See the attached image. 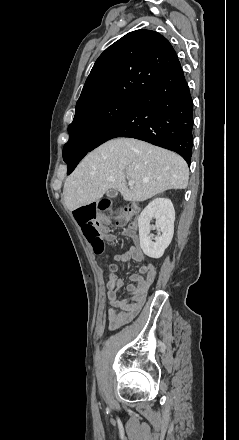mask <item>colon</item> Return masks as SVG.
Returning a JSON list of instances; mask_svg holds the SVG:
<instances>
[{
    "label": "colon",
    "mask_w": 239,
    "mask_h": 440,
    "mask_svg": "<svg viewBox=\"0 0 239 440\" xmlns=\"http://www.w3.org/2000/svg\"><path fill=\"white\" fill-rule=\"evenodd\" d=\"M140 209L139 204L113 206L109 201L104 200L99 204L78 208L74 212V216L94 251L101 254L105 249L106 241L110 239V236L104 233L103 219L112 220L117 224H125ZM109 269L113 274L115 266L110 265Z\"/></svg>",
    "instance_id": "colon-1"
}]
</instances>
